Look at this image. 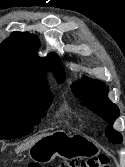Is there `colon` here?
I'll list each match as a JSON object with an SVG mask.
<instances>
[{"label":"colon","instance_id":"5ec220e1","mask_svg":"<svg viewBox=\"0 0 125 167\" xmlns=\"http://www.w3.org/2000/svg\"><path fill=\"white\" fill-rule=\"evenodd\" d=\"M29 167L31 166L29 165ZM47 167H110V158L105 154H100L87 159H73Z\"/></svg>","mask_w":125,"mask_h":167}]
</instances>
